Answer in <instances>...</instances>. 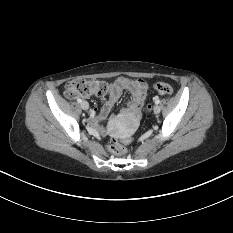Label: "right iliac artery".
I'll use <instances>...</instances> for the list:
<instances>
[{"label":"right iliac artery","instance_id":"right-iliac-artery-1","mask_svg":"<svg viewBox=\"0 0 233 233\" xmlns=\"http://www.w3.org/2000/svg\"><path fill=\"white\" fill-rule=\"evenodd\" d=\"M77 102H78V103H81V102H82V100H81V99H77Z\"/></svg>","mask_w":233,"mask_h":233}]
</instances>
